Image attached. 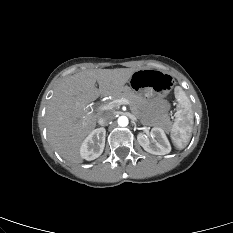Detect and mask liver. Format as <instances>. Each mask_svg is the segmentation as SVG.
Returning a JSON list of instances; mask_svg holds the SVG:
<instances>
[{"label": "liver", "mask_w": 233, "mask_h": 233, "mask_svg": "<svg viewBox=\"0 0 233 233\" xmlns=\"http://www.w3.org/2000/svg\"><path fill=\"white\" fill-rule=\"evenodd\" d=\"M136 71L132 68L85 70L58 84L47 108L46 121L49 140L64 159L75 164L82 162L80 146L103 114L89 115L88 104L99 96L119 94Z\"/></svg>", "instance_id": "obj_1"}]
</instances>
